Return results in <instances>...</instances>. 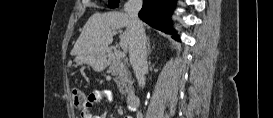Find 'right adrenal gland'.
<instances>
[{"mask_svg": "<svg viewBox=\"0 0 273 118\" xmlns=\"http://www.w3.org/2000/svg\"><path fill=\"white\" fill-rule=\"evenodd\" d=\"M147 51H148V55H150V53H151V46H150V39H149V37H147Z\"/></svg>", "mask_w": 273, "mask_h": 118, "instance_id": "obj_1", "label": "right adrenal gland"}]
</instances>
